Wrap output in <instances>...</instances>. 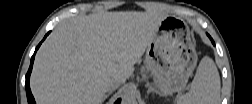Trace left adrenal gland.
Returning a JSON list of instances; mask_svg holds the SVG:
<instances>
[{
  "label": "left adrenal gland",
  "mask_w": 252,
  "mask_h": 104,
  "mask_svg": "<svg viewBox=\"0 0 252 104\" xmlns=\"http://www.w3.org/2000/svg\"><path fill=\"white\" fill-rule=\"evenodd\" d=\"M146 87H148L147 93L149 94L150 92H155L158 93V91L149 83L146 84Z\"/></svg>",
  "instance_id": "obj_1"
}]
</instances>
